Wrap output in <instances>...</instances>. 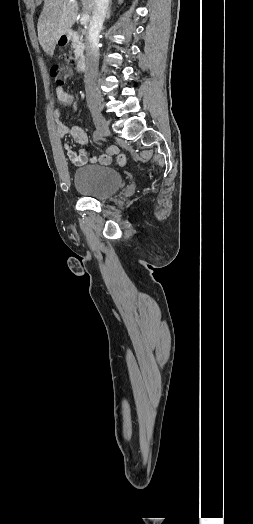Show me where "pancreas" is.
Wrapping results in <instances>:
<instances>
[{
    "mask_svg": "<svg viewBox=\"0 0 253 524\" xmlns=\"http://www.w3.org/2000/svg\"><path fill=\"white\" fill-rule=\"evenodd\" d=\"M71 47L74 50L76 58H83V56H84L83 39L77 33H74L73 36H72Z\"/></svg>",
    "mask_w": 253,
    "mask_h": 524,
    "instance_id": "obj_1",
    "label": "pancreas"
}]
</instances>
